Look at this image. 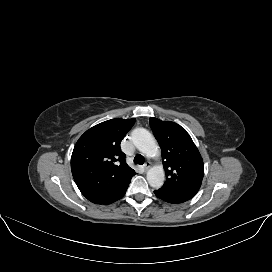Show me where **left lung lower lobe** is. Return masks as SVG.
I'll list each match as a JSON object with an SVG mask.
<instances>
[{
  "label": "left lung lower lobe",
  "mask_w": 272,
  "mask_h": 272,
  "mask_svg": "<svg viewBox=\"0 0 272 272\" xmlns=\"http://www.w3.org/2000/svg\"><path fill=\"white\" fill-rule=\"evenodd\" d=\"M154 193L158 198L169 203H183L185 201L190 200L193 197L192 195L166 191L161 188L159 190L154 191Z\"/></svg>",
  "instance_id": "0a47b994"
}]
</instances>
